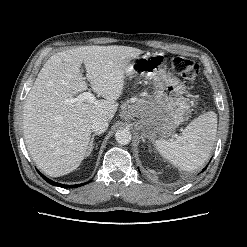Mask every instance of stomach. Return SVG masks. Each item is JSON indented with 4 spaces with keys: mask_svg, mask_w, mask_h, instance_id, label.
<instances>
[{
    "mask_svg": "<svg viewBox=\"0 0 247 247\" xmlns=\"http://www.w3.org/2000/svg\"><path fill=\"white\" fill-rule=\"evenodd\" d=\"M166 58L162 53L137 57L125 68L129 79L142 78L154 85L151 100L136 102L135 128L141 136L153 140L157 135L166 137L190 113V105L183 97L186 86L166 72Z\"/></svg>",
    "mask_w": 247,
    "mask_h": 247,
    "instance_id": "0dacf381",
    "label": "stomach"
}]
</instances>
